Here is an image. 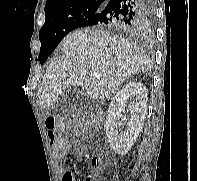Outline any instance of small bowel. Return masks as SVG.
<instances>
[{"label":"small bowel","instance_id":"obj_1","mask_svg":"<svg viewBox=\"0 0 197 181\" xmlns=\"http://www.w3.org/2000/svg\"><path fill=\"white\" fill-rule=\"evenodd\" d=\"M72 148L77 150L78 154H81L84 150V147L81 143L77 140L70 141L66 140L63 141V144L60 149H55V159L58 163L62 162L65 156L70 152ZM59 172L61 175V181H74V174L71 170L65 168L64 166H59Z\"/></svg>","mask_w":197,"mask_h":181}]
</instances>
